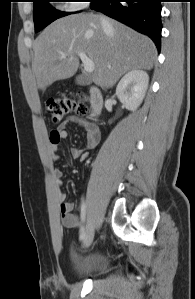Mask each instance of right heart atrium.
I'll return each mask as SVG.
<instances>
[{
    "instance_id": "right-heart-atrium-1",
    "label": "right heart atrium",
    "mask_w": 195,
    "mask_h": 299,
    "mask_svg": "<svg viewBox=\"0 0 195 299\" xmlns=\"http://www.w3.org/2000/svg\"><path fill=\"white\" fill-rule=\"evenodd\" d=\"M70 2L67 4L66 8L70 11H76L81 9L85 4V2L83 0H71V1H67Z\"/></svg>"
}]
</instances>
